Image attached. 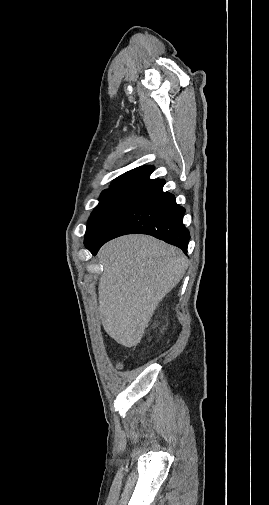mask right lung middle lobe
Returning <instances> with one entry per match:
<instances>
[{
	"label": "right lung middle lobe",
	"instance_id": "right-lung-middle-lobe-1",
	"mask_svg": "<svg viewBox=\"0 0 269 505\" xmlns=\"http://www.w3.org/2000/svg\"><path fill=\"white\" fill-rule=\"evenodd\" d=\"M138 190L109 188L102 192L99 204L88 220L84 243L86 246L97 241L105 227Z\"/></svg>",
	"mask_w": 269,
	"mask_h": 505
}]
</instances>
